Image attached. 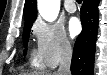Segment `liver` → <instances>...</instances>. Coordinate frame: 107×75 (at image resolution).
Returning a JSON list of instances; mask_svg holds the SVG:
<instances>
[{
  "instance_id": "6515ba94",
  "label": "liver",
  "mask_w": 107,
  "mask_h": 75,
  "mask_svg": "<svg viewBox=\"0 0 107 75\" xmlns=\"http://www.w3.org/2000/svg\"><path fill=\"white\" fill-rule=\"evenodd\" d=\"M23 75H57L55 72L54 73H39V72H32V73H26Z\"/></svg>"
}]
</instances>
